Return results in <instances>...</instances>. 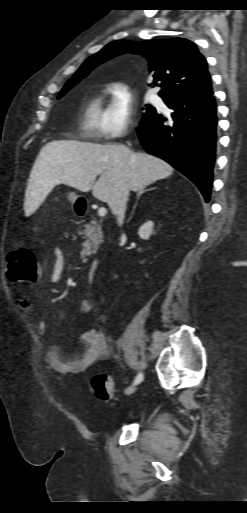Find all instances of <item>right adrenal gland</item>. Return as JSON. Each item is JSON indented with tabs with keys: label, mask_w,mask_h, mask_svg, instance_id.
Instances as JSON below:
<instances>
[{
	"label": "right adrenal gland",
	"mask_w": 247,
	"mask_h": 513,
	"mask_svg": "<svg viewBox=\"0 0 247 513\" xmlns=\"http://www.w3.org/2000/svg\"><path fill=\"white\" fill-rule=\"evenodd\" d=\"M150 190H152V189H147V190H140V191H138V193H137V200H136V203H135V205H134V207H133V210H135V208H136V206H137V204H138V200H139L140 196H141L142 194H144L145 192H148V191H150Z\"/></svg>",
	"instance_id": "right-adrenal-gland-1"
}]
</instances>
